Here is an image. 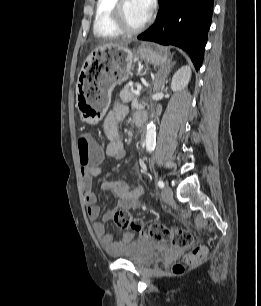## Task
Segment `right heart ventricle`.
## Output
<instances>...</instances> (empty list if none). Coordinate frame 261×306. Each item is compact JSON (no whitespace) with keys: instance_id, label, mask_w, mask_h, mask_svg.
Segmentation results:
<instances>
[{"instance_id":"e07e8e85","label":"right heart ventricle","mask_w":261,"mask_h":306,"mask_svg":"<svg viewBox=\"0 0 261 306\" xmlns=\"http://www.w3.org/2000/svg\"><path fill=\"white\" fill-rule=\"evenodd\" d=\"M117 0H97L93 33L98 38L114 39L124 33L116 26L113 16V8Z\"/></svg>"}]
</instances>
